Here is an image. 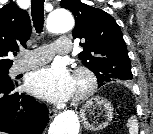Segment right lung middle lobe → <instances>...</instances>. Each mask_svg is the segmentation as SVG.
Wrapping results in <instances>:
<instances>
[{
    "instance_id": "1",
    "label": "right lung middle lobe",
    "mask_w": 153,
    "mask_h": 134,
    "mask_svg": "<svg viewBox=\"0 0 153 134\" xmlns=\"http://www.w3.org/2000/svg\"><path fill=\"white\" fill-rule=\"evenodd\" d=\"M8 70L9 69L0 70V81H3L7 84H14L13 81L8 76Z\"/></svg>"
}]
</instances>
